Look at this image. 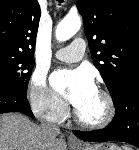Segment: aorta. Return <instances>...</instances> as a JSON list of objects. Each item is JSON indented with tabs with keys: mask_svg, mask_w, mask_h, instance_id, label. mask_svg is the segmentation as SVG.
I'll list each match as a JSON object with an SVG mask.
<instances>
[{
	"mask_svg": "<svg viewBox=\"0 0 139 150\" xmlns=\"http://www.w3.org/2000/svg\"><path fill=\"white\" fill-rule=\"evenodd\" d=\"M81 27V19L78 15H67L56 28V39L66 41L75 35Z\"/></svg>",
	"mask_w": 139,
	"mask_h": 150,
	"instance_id": "obj_1",
	"label": "aorta"
}]
</instances>
